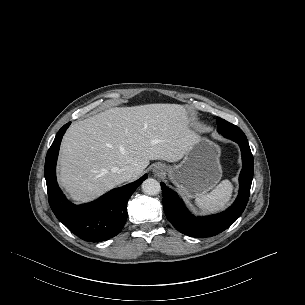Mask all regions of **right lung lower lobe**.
Returning a JSON list of instances; mask_svg holds the SVG:
<instances>
[{
    "label": "right lung lower lobe",
    "instance_id": "1",
    "mask_svg": "<svg viewBox=\"0 0 305 305\" xmlns=\"http://www.w3.org/2000/svg\"><path fill=\"white\" fill-rule=\"evenodd\" d=\"M70 122L57 133L45 160V179L49 204L56 217L79 238L100 242L116 236L127 219V202L129 197L142 183L147 174L137 181L116 188L96 201L83 205H74L61 192L56 181V161L59 147Z\"/></svg>",
    "mask_w": 305,
    "mask_h": 305
}]
</instances>
